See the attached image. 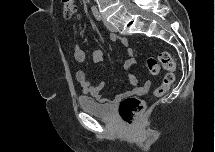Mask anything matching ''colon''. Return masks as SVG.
<instances>
[{
    "label": "colon",
    "instance_id": "colon-1",
    "mask_svg": "<svg viewBox=\"0 0 215 152\" xmlns=\"http://www.w3.org/2000/svg\"><path fill=\"white\" fill-rule=\"evenodd\" d=\"M62 7L66 18L72 17L77 11V3L74 0H63ZM160 64L167 71V73L162 83L154 92L157 97L164 96L170 90L176 78V63L168 52L163 51L158 54L157 58L149 57L147 59V67L152 75L159 74ZM144 107L145 101L143 99L135 96H129L121 101L119 105V115L125 123L132 124L143 111Z\"/></svg>",
    "mask_w": 215,
    "mask_h": 152
}]
</instances>
